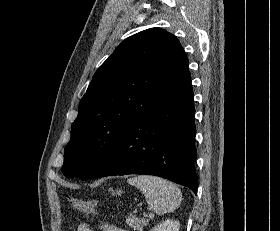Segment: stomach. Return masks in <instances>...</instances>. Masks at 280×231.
Masks as SVG:
<instances>
[{
	"label": "stomach",
	"instance_id": "1",
	"mask_svg": "<svg viewBox=\"0 0 280 231\" xmlns=\"http://www.w3.org/2000/svg\"><path fill=\"white\" fill-rule=\"evenodd\" d=\"M110 191H112L113 195H121L122 193L121 189H115V191L114 189H110Z\"/></svg>",
	"mask_w": 280,
	"mask_h": 231
}]
</instances>
